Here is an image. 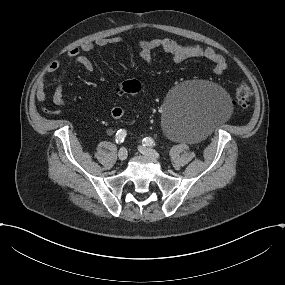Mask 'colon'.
Masks as SVG:
<instances>
[{
    "mask_svg": "<svg viewBox=\"0 0 285 285\" xmlns=\"http://www.w3.org/2000/svg\"><path fill=\"white\" fill-rule=\"evenodd\" d=\"M141 83L136 79L125 80L119 87V92L125 95H137L141 92ZM252 90L247 83H241L233 94V104L237 107H246L250 102ZM111 115L113 119L118 120L124 115V108L122 105L115 106Z\"/></svg>",
    "mask_w": 285,
    "mask_h": 285,
    "instance_id": "colon-1",
    "label": "colon"
}]
</instances>
